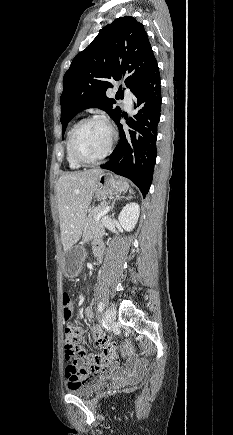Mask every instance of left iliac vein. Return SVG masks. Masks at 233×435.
Returning <instances> with one entry per match:
<instances>
[{
  "mask_svg": "<svg viewBox=\"0 0 233 435\" xmlns=\"http://www.w3.org/2000/svg\"><path fill=\"white\" fill-rule=\"evenodd\" d=\"M115 321V313L111 308L106 309L104 313V322L105 324L110 327L113 322Z\"/></svg>",
  "mask_w": 233,
  "mask_h": 435,
  "instance_id": "4c4485c4",
  "label": "left iliac vein"
}]
</instances>
